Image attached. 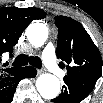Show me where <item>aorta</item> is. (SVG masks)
<instances>
[{"label":"aorta","instance_id":"aorta-1","mask_svg":"<svg viewBox=\"0 0 103 103\" xmlns=\"http://www.w3.org/2000/svg\"><path fill=\"white\" fill-rule=\"evenodd\" d=\"M29 42L35 47H41L48 38L47 27L40 22L31 23L26 29ZM36 88L44 99H54L60 93V81L52 74H42L36 81Z\"/></svg>","mask_w":103,"mask_h":103}]
</instances>
